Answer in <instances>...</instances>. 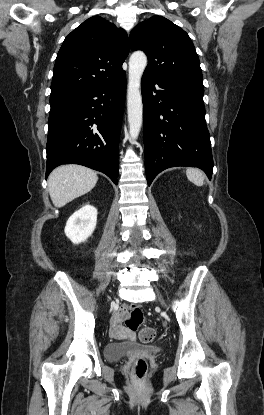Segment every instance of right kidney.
I'll list each match as a JSON object with an SVG mask.
<instances>
[{
  "label": "right kidney",
  "mask_w": 264,
  "mask_h": 415,
  "mask_svg": "<svg viewBox=\"0 0 264 415\" xmlns=\"http://www.w3.org/2000/svg\"><path fill=\"white\" fill-rule=\"evenodd\" d=\"M97 224V209L89 204L82 206L68 219L65 226L66 236L74 243L86 241L94 232Z\"/></svg>",
  "instance_id": "1"
}]
</instances>
